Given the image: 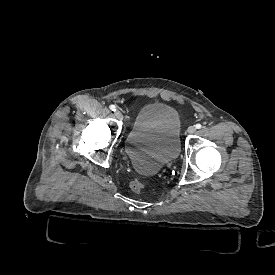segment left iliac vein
<instances>
[{"mask_svg":"<svg viewBox=\"0 0 275 275\" xmlns=\"http://www.w3.org/2000/svg\"><path fill=\"white\" fill-rule=\"evenodd\" d=\"M188 134H194L196 132V127L195 126H190L187 129Z\"/></svg>","mask_w":275,"mask_h":275,"instance_id":"1","label":"left iliac vein"}]
</instances>
